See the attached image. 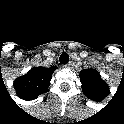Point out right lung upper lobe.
Segmentation results:
<instances>
[{
  "label": "right lung upper lobe",
  "mask_w": 124,
  "mask_h": 124,
  "mask_svg": "<svg viewBox=\"0 0 124 124\" xmlns=\"http://www.w3.org/2000/svg\"><path fill=\"white\" fill-rule=\"evenodd\" d=\"M56 68V66L50 68L33 67L27 74L18 77L14 83L18 94L26 100H32L47 92Z\"/></svg>",
  "instance_id": "1"
}]
</instances>
